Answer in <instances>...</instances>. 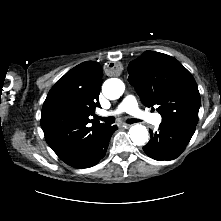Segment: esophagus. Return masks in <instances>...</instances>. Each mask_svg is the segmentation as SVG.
I'll use <instances>...</instances> for the list:
<instances>
[{"instance_id":"esophagus-1","label":"esophagus","mask_w":221,"mask_h":221,"mask_svg":"<svg viewBox=\"0 0 221 221\" xmlns=\"http://www.w3.org/2000/svg\"><path fill=\"white\" fill-rule=\"evenodd\" d=\"M131 125L130 124H123L122 127L124 128H129Z\"/></svg>"}]
</instances>
